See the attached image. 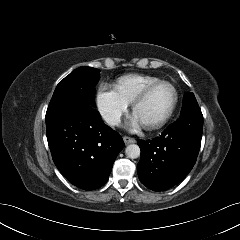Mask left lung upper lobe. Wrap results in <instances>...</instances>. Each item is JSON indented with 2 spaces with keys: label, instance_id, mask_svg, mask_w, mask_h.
I'll return each instance as SVG.
<instances>
[{
  "label": "left lung upper lobe",
  "instance_id": "left-lung-upper-lobe-1",
  "mask_svg": "<svg viewBox=\"0 0 240 240\" xmlns=\"http://www.w3.org/2000/svg\"><path fill=\"white\" fill-rule=\"evenodd\" d=\"M193 108H199L197 100L193 93L187 92L183 97V105H182L181 113Z\"/></svg>",
  "mask_w": 240,
  "mask_h": 240
}]
</instances>
